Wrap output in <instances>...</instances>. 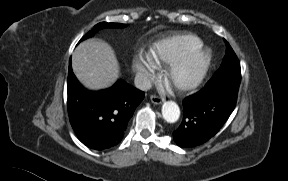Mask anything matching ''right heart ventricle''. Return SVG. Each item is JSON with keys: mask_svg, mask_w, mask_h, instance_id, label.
<instances>
[{"mask_svg": "<svg viewBox=\"0 0 288 181\" xmlns=\"http://www.w3.org/2000/svg\"><path fill=\"white\" fill-rule=\"evenodd\" d=\"M201 46H203V41L197 35L175 34L153 43L148 56L157 64H172Z\"/></svg>", "mask_w": 288, "mask_h": 181, "instance_id": "e07e8e85", "label": "right heart ventricle"}]
</instances>
